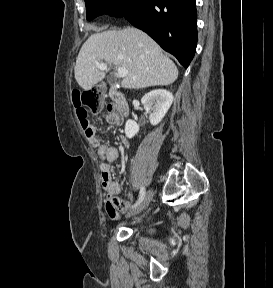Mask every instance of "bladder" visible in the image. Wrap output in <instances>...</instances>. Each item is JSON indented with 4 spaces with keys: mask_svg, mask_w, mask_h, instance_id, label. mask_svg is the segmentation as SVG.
I'll list each match as a JSON object with an SVG mask.
<instances>
[{
    "mask_svg": "<svg viewBox=\"0 0 273 288\" xmlns=\"http://www.w3.org/2000/svg\"><path fill=\"white\" fill-rule=\"evenodd\" d=\"M152 229L151 228H145L142 232H141V236L144 237V238H149L152 236Z\"/></svg>",
    "mask_w": 273,
    "mask_h": 288,
    "instance_id": "31cf9c89",
    "label": "bladder"
}]
</instances>
